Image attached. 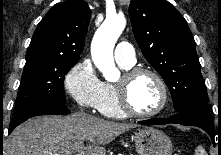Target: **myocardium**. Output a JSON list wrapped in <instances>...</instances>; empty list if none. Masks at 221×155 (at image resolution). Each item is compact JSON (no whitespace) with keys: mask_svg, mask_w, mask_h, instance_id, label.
<instances>
[{"mask_svg":"<svg viewBox=\"0 0 221 155\" xmlns=\"http://www.w3.org/2000/svg\"><path fill=\"white\" fill-rule=\"evenodd\" d=\"M148 74L152 76L158 83L161 90V103L157 109L151 112H139L131 104L129 97V89L132 82L140 75ZM116 93L118 98V103L121 110L129 116L138 117V118H150L159 115L164 111L168 104L169 93L167 85L162 78V76L153 69L146 67H135L127 70L121 77V79L116 83Z\"/></svg>","mask_w":221,"mask_h":155,"instance_id":"1","label":"myocardium"}]
</instances>
